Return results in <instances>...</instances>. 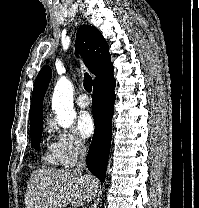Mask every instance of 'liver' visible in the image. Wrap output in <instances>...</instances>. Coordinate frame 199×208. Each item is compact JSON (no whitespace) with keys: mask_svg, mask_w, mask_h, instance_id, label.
<instances>
[{"mask_svg":"<svg viewBox=\"0 0 199 208\" xmlns=\"http://www.w3.org/2000/svg\"><path fill=\"white\" fill-rule=\"evenodd\" d=\"M99 181L76 170L37 169L29 179L25 208H61L69 203L80 207L91 201Z\"/></svg>","mask_w":199,"mask_h":208,"instance_id":"6515ba94","label":"liver"}]
</instances>
